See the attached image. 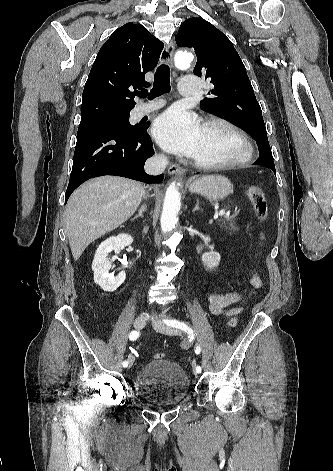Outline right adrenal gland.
I'll use <instances>...</instances> for the list:
<instances>
[{
  "label": "right adrenal gland",
  "instance_id": "right-adrenal-gland-1",
  "mask_svg": "<svg viewBox=\"0 0 333 471\" xmlns=\"http://www.w3.org/2000/svg\"><path fill=\"white\" fill-rule=\"evenodd\" d=\"M147 210L146 204H142L141 207L138 210V214L132 218V220H135L139 217L143 218V213Z\"/></svg>",
  "mask_w": 333,
  "mask_h": 471
}]
</instances>
